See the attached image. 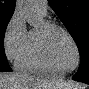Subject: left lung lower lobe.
<instances>
[{"instance_id": "obj_1", "label": "left lung lower lobe", "mask_w": 89, "mask_h": 89, "mask_svg": "<svg viewBox=\"0 0 89 89\" xmlns=\"http://www.w3.org/2000/svg\"><path fill=\"white\" fill-rule=\"evenodd\" d=\"M73 80L89 84V66L82 65L74 75Z\"/></svg>"}]
</instances>
